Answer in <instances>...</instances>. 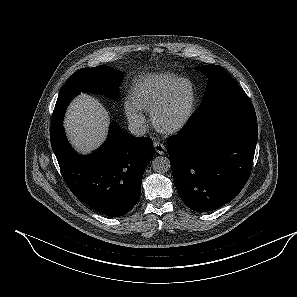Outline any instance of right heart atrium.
<instances>
[{
    "label": "right heart atrium",
    "mask_w": 297,
    "mask_h": 297,
    "mask_svg": "<svg viewBox=\"0 0 297 297\" xmlns=\"http://www.w3.org/2000/svg\"><path fill=\"white\" fill-rule=\"evenodd\" d=\"M124 112L129 122L136 128H143L145 125L144 115L130 100L124 103Z\"/></svg>",
    "instance_id": "1"
}]
</instances>
